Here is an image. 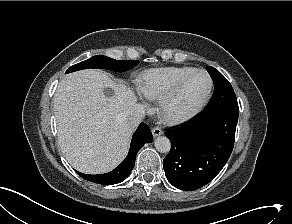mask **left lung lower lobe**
<instances>
[{"label": "left lung lower lobe", "instance_id": "obj_1", "mask_svg": "<svg viewBox=\"0 0 292 224\" xmlns=\"http://www.w3.org/2000/svg\"><path fill=\"white\" fill-rule=\"evenodd\" d=\"M239 116L237 100L205 108L194 120L168 129L171 150L163 160L171 185L195 190L212 181L228 161Z\"/></svg>", "mask_w": 292, "mask_h": 224}]
</instances>
